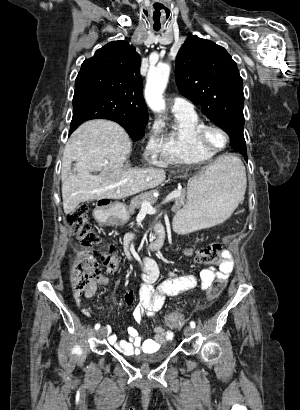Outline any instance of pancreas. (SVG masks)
<instances>
[{
  "mask_svg": "<svg viewBox=\"0 0 300 410\" xmlns=\"http://www.w3.org/2000/svg\"><path fill=\"white\" fill-rule=\"evenodd\" d=\"M180 192H181V195L174 199V205L172 206V210L174 212L178 211L181 208V206L184 205V203L186 201V191L182 189V190H180ZM144 199L149 201L151 204H154L157 200V198L153 196V192L142 193L138 196H135L131 200V204L129 206V211L134 212L135 209L140 208V206L142 204V201Z\"/></svg>",
  "mask_w": 300,
  "mask_h": 410,
  "instance_id": "1",
  "label": "pancreas"
}]
</instances>
